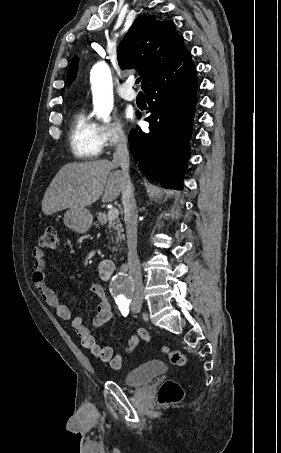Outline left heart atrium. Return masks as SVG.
Returning <instances> with one entry per match:
<instances>
[{
	"instance_id": "obj_1",
	"label": "left heart atrium",
	"mask_w": 281,
	"mask_h": 453,
	"mask_svg": "<svg viewBox=\"0 0 281 453\" xmlns=\"http://www.w3.org/2000/svg\"><path fill=\"white\" fill-rule=\"evenodd\" d=\"M123 117H124L127 121H129V122L133 121L134 115H133L132 109L126 108V109L123 111Z\"/></svg>"
}]
</instances>
